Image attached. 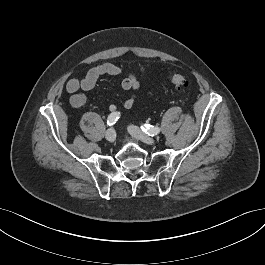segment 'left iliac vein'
Here are the masks:
<instances>
[{
    "instance_id": "obj_1",
    "label": "left iliac vein",
    "mask_w": 265,
    "mask_h": 265,
    "mask_svg": "<svg viewBox=\"0 0 265 265\" xmlns=\"http://www.w3.org/2000/svg\"><path fill=\"white\" fill-rule=\"evenodd\" d=\"M128 131L133 137L141 140L142 142L148 145H154L156 142L155 139H153L152 137H150L149 135H147L141 129H139L138 127L134 125H130L128 127Z\"/></svg>"
}]
</instances>
